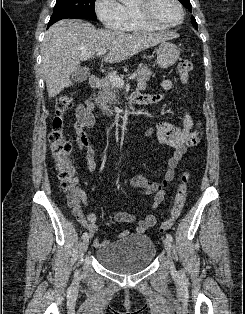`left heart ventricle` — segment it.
<instances>
[{"mask_svg":"<svg viewBox=\"0 0 245 314\" xmlns=\"http://www.w3.org/2000/svg\"><path fill=\"white\" fill-rule=\"evenodd\" d=\"M152 15L163 23L173 24L181 20V12L174 0H155Z\"/></svg>","mask_w":245,"mask_h":314,"instance_id":"1","label":"left heart ventricle"}]
</instances>
